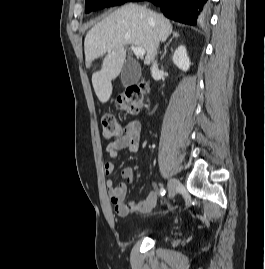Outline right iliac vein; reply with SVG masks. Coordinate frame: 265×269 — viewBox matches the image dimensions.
Segmentation results:
<instances>
[{
	"instance_id": "obj_1",
	"label": "right iliac vein",
	"mask_w": 265,
	"mask_h": 269,
	"mask_svg": "<svg viewBox=\"0 0 265 269\" xmlns=\"http://www.w3.org/2000/svg\"><path fill=\"white\" fill-rule=\"evenodd\" d=\"M169 198H173L179 188L181 187V183L178 179L176 178H170L169 180Z\"/></svg>"
}]
</instances>
